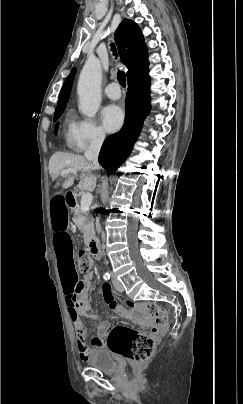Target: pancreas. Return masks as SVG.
<instances>
[{
	"mask_svg": "<svg viewBox=\"0 0 243 404\" xmlns=\"http://www.w3.org/2000/svg\"><path fill=\"white\" fill-rule=\"evenodd\" d=\"M73 222L81 230L85 244H88L94 234V226L90 224L88 214L82 212L80 206L74 210Z\"/></svg>",
	"mask_w": 243,
	"mask_h": 404,
	"instance_id": "1",
	"label": "pancreas"
}]
</instances>
